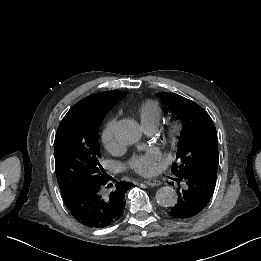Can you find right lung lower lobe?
Listing matches in <instances>:
<instances>
[{
  "mask_svg": "<svg viewBox=\"0 0 261 261\" xmlns=\"http://www.w3.org/2000/svg\"><path fill=\"white\" fill-rule=\"evenodd\" d=\"M110 178L106 174L93 185L80 186L64 200L76 221L84 226L103 228L120 218L125 208V193L132 183L118 182L112 191L106 192L103 188Z\"/></svg>",
  "mask_w": 261,
  "mask_h": 261,
  "instance_id": "1",
  "label": "right lung lower lobe"
}]
</instances>
